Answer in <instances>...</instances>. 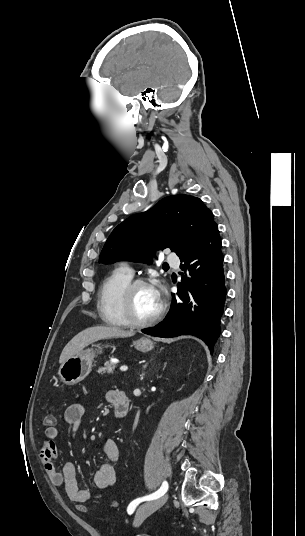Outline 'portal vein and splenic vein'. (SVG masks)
<instances>
[{"label": "portal vein and splenic vein", "mask_w": 305, "mask_h": 536, "mask_svg": "<svg viewBox=\"0 0 305 536\" xmlns=\"http://www.w3.org/2000/svg\"><path fill=\"white\" fill-rule=\"evenodd\" d=\"M111 362H118V360H111ZM120 370L121 372H126V370H128V366H121Z\"/></svg>", "instance_id": "18ae733b"}]
</instances>
